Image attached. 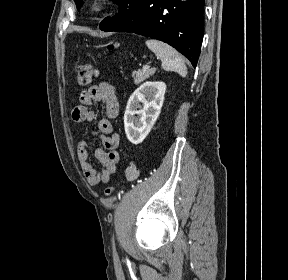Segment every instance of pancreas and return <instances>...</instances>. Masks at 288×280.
<instances>
[{"mask_svg": "<svg viewBox=\"0 0 288 280\" xmlns=\"http://www.w3.org/2000/svg\"><path fill=\"white\" fill-rule=\"evenodd\" d=\"M154 73H155V68L134 71L132 73L133 81L135 84H139L143 82L145 79L154 75Z\"/></svg>", "mask_w": 288, "mask_h": 280, "instance_id": "pancreas-1", "label": "pancreas"}]
</instances>
